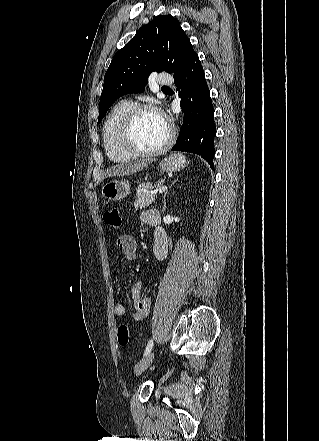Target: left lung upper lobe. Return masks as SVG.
<instances>
[{"label":"left lung upper lobe","mask_w":319,"mask_h":441,"mask_svg":"<svg viewBox=\"0 0 319 441\" xmlns=\"http://www.w3.org/2000/svg\"><path fill=\"white\" fill-rule=\"evenodd\" d=\"M196 55L180 23L171 15L157 16L113 57L104 76L98 123L122 95L144 91L153 71L178 75Z\"/></svg>","instance_id":"left-lung-upper-lobe-1"}]
</instances>
